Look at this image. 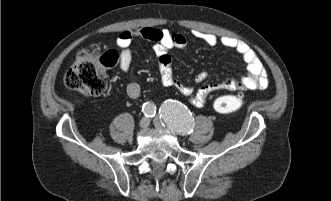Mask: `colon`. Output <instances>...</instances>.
<instances>
[{"label":"colon","mask_w":331,"mask_h":201,"mask_svg":"<svg viewBox=\"0 0 331 201\" xmlns=\"http://www.w3.org/2000/svg\"><path fill=\"white\" fill-rule=\"evenodd\" d=\"M118 61V54L113 51L101 52L96 48L82 51L67 71L64 84L71 90L85 96H100L107 90L106 70ZM233 95L217 97L213 102L219 113H232L244 105L243 91Z\"/></svg>","instance_id":"colon-1"}]
</instances>
